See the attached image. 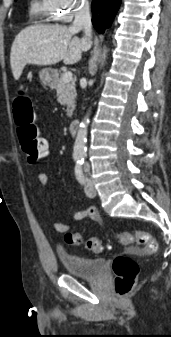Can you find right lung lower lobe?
Segmentation results:
<instances>
[{
  "label": "right lung lower lobe",
  "instance_id": "right-lung-lower-lobe-1",
  "mask_svg": "<svg viewBox=\"0 0 171 337\" xmlns=\"http://www.w3.org/2000/svg\"><path fill=\"white\" fill-rule=\"evenodd\" d=\"M120 3L121 0H93L92 23L99 33H104L110 27Z\"/></svg>",
  "mask_w": 171,
  "mask_h": 337
}]
</instances>
